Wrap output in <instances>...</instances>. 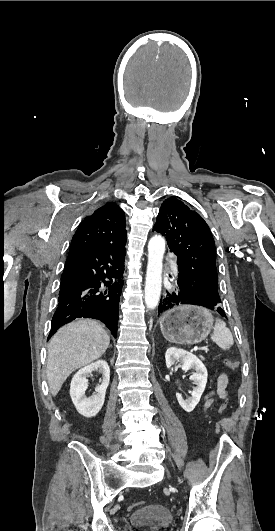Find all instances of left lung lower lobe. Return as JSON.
I'll use <instances>...</instances> for the list:
<instances>
[{"instance_id":"obj_1","label":"left lung lower lobe","mask_w":275,"mask_h":531,"mask_svg":"<svg viewBox=\"0 0 275 531\" xmlns=\"http://www.w3.org/2000/svg\"><path fill=\"white\" fill-rule=\"evenodd\" d=\"M182 304H192L199 305L195 302H192L186 298L183 293L177 288L175 291L169 292L166 291L165 295L161 298L160 304L158 306V315L164 313L165 311ZM218 313L226 317L224 311L221 308H218Z\"/></svg>"}]
</instances>
